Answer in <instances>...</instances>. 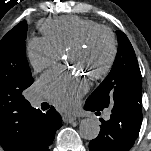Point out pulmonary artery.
I'll return each mask as SVG.
<instances>
[{
	"instance_id": "obj_1",
	"label": "pulmonary artery",
	"mask_w": 151,
	"mask_h": 151,
	"mask_svg": "<svg viewBox=\"0 0 151 151\" xmlns=\"http://www.w3.org/2000/svg\"><path fill=\"white\" fill-rule=\"evenodd\" d=\"M110 115H111L110 110H107V111L105 112V114H104V118H105V119H109V118H110Z\"/></svg>"
}]
</instances>
